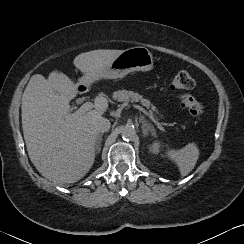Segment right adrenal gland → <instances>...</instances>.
Wrapping results in <instances>:
<instances>
[{"label": "right adrenal gland", "mask_w": 244, "mask_h": 244, "mask_svg": "<svg viewBox=\"0 0 244 244\" xmlns=\"http://www.w3.org/2000/svg\"><path fill=\"white\" fill-rule=\"evenodd\" d=\"M102 136H103V133H100L97 136L96 146H95V149H96V153L97 154L100 153V151H101Z\"/></svg>", "instance_id": "right-adrenal-gland-1"}]
</instances>
